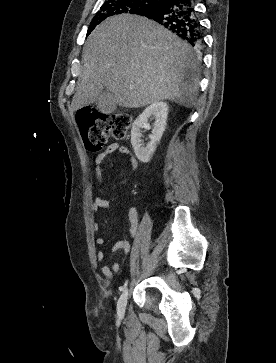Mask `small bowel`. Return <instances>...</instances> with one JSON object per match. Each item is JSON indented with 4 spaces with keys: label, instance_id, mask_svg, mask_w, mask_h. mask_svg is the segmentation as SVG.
<instances>
[{
    "label": "small bowel",
    "instance_id": "obj_1",
    "mask_svg": "<svg viewBox=\"0 0 276 363\" xmlns=\"http://www.w3.org/2000/svg\"><path fill=\"white\" fill-rule=\"evenodd\" d=\"M115 152H119L122 155H124L131 166L132 169H136L138 167V161L132 154V152L123 145H120L119 143H112L107 146V148L98 154L94 159L95 164V175L96 178L100 184L98 195L96 196L94 202L91 205V211L93 213L101 212L103 210H106L109 208V202L103 197V188L101 186L102 180H103V170H102V163L105 160V158ZM128 220H129V237L126 239H121L115 242L111 246V252H118L123 251L124 253H128L131 249V238L135 237L138 231L139 226V218H138V210L136 207H132L129 210L128 214ZM91 226L93 231L97 232L99 230V224L94 219L91 222ZM105 242L103 237H97L95 239V243L99 246L103 245ZM96 259L98 262H103L105 260V253L102 250H98L96 252ZM122 269V266L120 263H114L112 266L104 265L102 267V274L107 279H112L117 273H119Z\"/></svg>",
    "mask_w": 276,
    "mask_h": 363
}]
</instances>
